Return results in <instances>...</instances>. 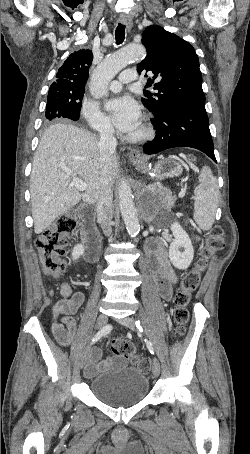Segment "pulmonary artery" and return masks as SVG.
Returning <instances> with one entry per match:
<instances>
[{"label":"pulmonary artery","instance_id":"e3ab8cb5","mask_svg":"<svg viewBox=\"0 0 250 454\" xmlns=\"http://www.w3.org/2000/svg\"><path fill=\"white\" fill-rule=\"evenodd\" d=\"M136 79V71L134 69H127L120 74L118 80H113L109 83V89L113 92H118L122 89L124 84L130 83Z\"/></svg>","mask_w":250,"mask_h":454}]
</instances>
